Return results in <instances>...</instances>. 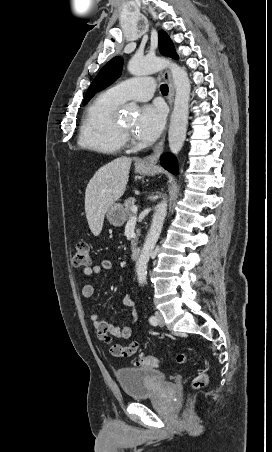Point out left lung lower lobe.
Masks as SVG:
<instances>
[{
	"label": "left lung lower lobe",
	"mask_w": 272,
	"mask_h": 452,
	"mask_svg": "<svg viewBox=\"0 0 272 452\" xmlns=\"http://www.w3.org/2000/svg\"><path fill=\"white\" fill-rule=\"evenodd\" d=\"M161 165L167 169L168 171L177 174V162L173 155L171 154H165L161 157Z\"/></svg>",
	"instance_id": "obj_1"
}]
</instances>
